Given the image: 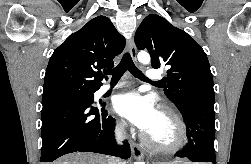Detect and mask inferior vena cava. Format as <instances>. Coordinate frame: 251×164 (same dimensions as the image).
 <instances>
[{
  "label": "inferior vena cava",
  "mask_w": 251,
  "mask_h": 164,
  "mask_svg": "<svg viewBox=\"0 0 251 164\" xmlns=\"http://www.w3.org/2000/svg\"><path fill=\"white\" fill-rule=\"evenodd\" d=\"M125 127L126 123L124 121L116 127L115 136L118 144H122V141L125 139ZM110 164H120V162L117 159H111Z\"/></svg>",
  "instance_id": "602c4592"
}]
</instances>
